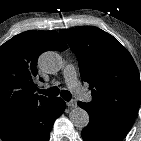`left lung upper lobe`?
Instances as JSON below:
<instances>
[{
    "label": "left lung upper lobe",
    "instance_id": "5c2ea615",
    "mask_svg": "<svg viewBox=\"0 0 141 141\" xmlns=\"http://www.w3.org/2000/svg\"><path fill=\"white\" fill-rule=\"evenodd\" d=\"M79 59L80 75L92 89V106L113 114H135L141 103V82L130 53L105 31L93 27L61 30Z\"/></svg>",
    "mask_w": 141,
    "mask_h": 141
}]
</instances>
